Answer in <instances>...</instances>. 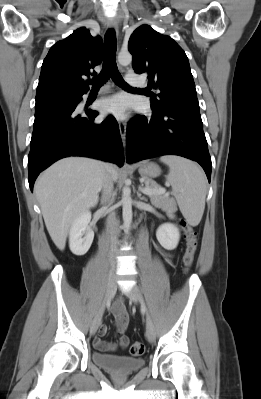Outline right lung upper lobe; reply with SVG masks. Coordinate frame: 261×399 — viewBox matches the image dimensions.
Segmentation results:
<instances>
[{
    "label": "right lung upper lobe",
    "mask_w": 261,
    "mask_h": 399,
    "mask_svg": "<svg viewBox=\"0 0 261 399\" xmlns=\"http://www.w3.org/2000/svg\"><path fill=\"white\" fill-rule=\"evenodd\" d=\"M102 54L101 37H92L84 27L55 43L41 67L36 102L86 93L89 86L82 76L102 62Z\"/></svg>",
    "instance_id": "1"
}]
</instances>
